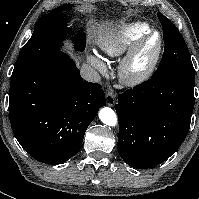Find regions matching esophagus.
I'll return each mask as SVG.
<instances>
[{
    "mask_svg": "<svg viewBox=\"0 0 199 199\" xmlns=\"http://www.w3.org/2000/svg\"><path fill=\"white\" fill-rule=\"evenodd\" d=\"M116 103V99L114 97V94L111 91H108V93L106 94V104L108 106H114Z\"/></svg>",
    "mask_w": 199,
    "mask_h": 199,
    "instance_id": "obj_1",
    "label": "esophagus"
}]
</instances>
